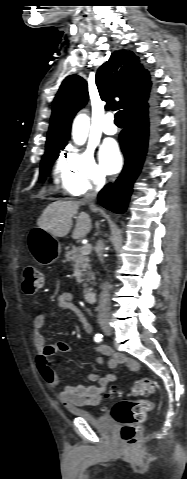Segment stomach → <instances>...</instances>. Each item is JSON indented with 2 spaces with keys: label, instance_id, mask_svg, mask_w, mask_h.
I'll list each match as a JSON object with an SVG mask.
<instances>
[{
  "label": "stomach",
  "instance_id": "1",
  "mask_svg": "<svg viewBox=\"0 0 187 479\" xmlns=\"http://www.w3.org/2000/svg\"><path fill=\"white\" fill-rule=\"evenodd\" d=\"M28 249L34 260L44 266L54 263L61 254V244L50 233L37 227L27 236Z\"/></svg>",
  "mask_w": 187,
  "mask_h": 479
}]
</instances>
